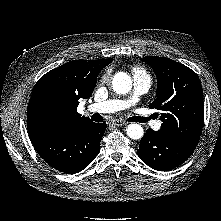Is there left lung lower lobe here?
I'll return each instance as SVG.
<instances>
[{"label":"left lung lower lobe","mask_w":221,"mask_h":221,"mask_svg":"<svg viewBox=\"0 0 221 221\" xmlns=\"http://www.w3.org/2000/svg\"><path fill=\"white\" fill-rule=\"evenodd\" d=\"M196 146L161 135L147 129L137 154L149 167L158 171L172 170L185 162Z\"/></svg>","instance_id":"1"}]
</instances>
